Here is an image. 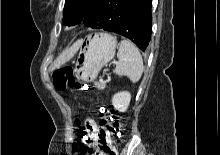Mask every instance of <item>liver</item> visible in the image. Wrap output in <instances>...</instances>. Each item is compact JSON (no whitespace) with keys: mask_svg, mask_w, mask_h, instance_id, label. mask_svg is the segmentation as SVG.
<instances>
[{"mask_svg":"<svg viewBox=\"0 0 220 155\" xmlns=\"http://www.w3.org/2000/svg\"><path fill=\"white\" fill-rule=\"evenodd\" d=\"M82 41H78L76 44H74L70 49L66 50L63 52L57 60L54 62L52 65V70L59 68L62 64L66 63L69 61L78 51V49L81 46Z\"/></svg>","mask_w":220,"mask_h":155,"instance_id":"obj_1","label":"liver"}]
</instances>
